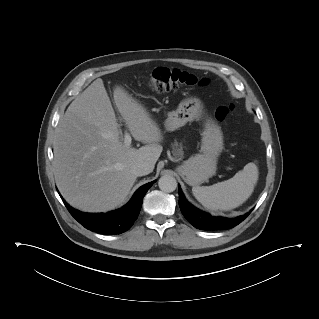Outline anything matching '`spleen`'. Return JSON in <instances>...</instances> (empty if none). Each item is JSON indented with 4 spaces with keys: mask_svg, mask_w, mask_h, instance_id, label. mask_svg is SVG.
<instances>
[{
    "mask_svg": "<svg viewBox=\"0 0 319 319\" xmlns=\"http://www.w3.org/2000/svg\"><path fill=\"white\" fill-rule=\"evenodd\" d=\"M258 176V167L250 162L232 178L211 186H194L192 192L207 209L230 210L240 206L251 196Z\"/></svg>",
    "mask_w": 319,
    "mask_h": 319,
    "instance_id": "1",
    "label": "spleen"
}]
</instances>
